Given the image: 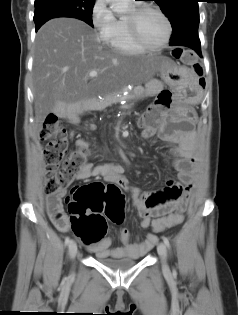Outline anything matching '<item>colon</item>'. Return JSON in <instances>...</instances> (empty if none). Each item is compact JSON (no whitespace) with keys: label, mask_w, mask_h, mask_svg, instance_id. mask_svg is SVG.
<instances>
[{"label":"colon","mask_w":238,"mask_h":315,"mask_svg":"<svg viewBox=\"0 0 238 315\" xmlns=\"http://www.w3.org/2000/svg\"><path fill=\"white\" fill-rule=\"evenodd\" d=\"M172 55L192 68L204 87V68L197 55L185 48H176ZM172 95L169 91L160 93L153 105L140 118V126L152 128L167 113ZM40 139L46 143L44 161L46 166L45 192L54 194L68 187L77 173L86 164L88 150L86 144L66 156L68 149L67 131L59 118L49 114L43 124ZM71 213L70 223L74 234L86 245L94 244L104 238L106 219L115 224L124 220L125 197L121 188L114 183L92 182L72 189L67 199ZM179 221L177 214L156 218L152 229L161 232L175 226Z\"/></svg>","instance_id":"obj_1"}]
</instances>
